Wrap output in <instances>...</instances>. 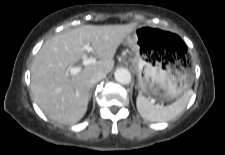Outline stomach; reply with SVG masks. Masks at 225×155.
Listing matches in <instances>:
<instances>
[{
    "mask_svg": "<svg viewBox=\"0 0 225 155\" xmlns=\"http://www.w3.org/2000/svg\"><path fill=\"white\" fill-rule=\"evenodd\" d=\"M173 35L163 29L137 26L127 36L142 92L157 101H170L183 96L193 82L182 58L169 52Z\"/></svg>",
    "mask_w": 225,
    "mask_h": 155,
    "instance_id": "stomach-1",
    "label": "stomach"
}]
</instances>
